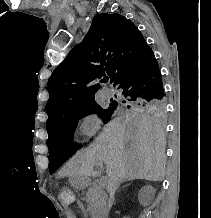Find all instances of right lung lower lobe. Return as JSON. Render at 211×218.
<instances>
[{"label": "right lung lower lobe", "instance_id": "1", "mask_svg": "<svg viewBox=\"0 0 211 218\" xmlns=\"http://www.w3.org/2000/svg\"><path fill=\"white\" fill-rule=\"evenodd\" d=\"M122 94L130 98L163 99V82L152 50L144 53L114 81Z\"/></svg>", "mask_w": 211, "mask_h": 218}]
</instances>
